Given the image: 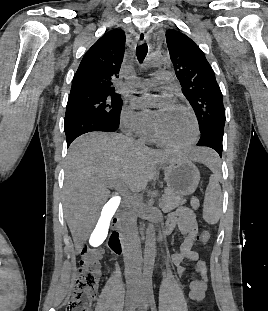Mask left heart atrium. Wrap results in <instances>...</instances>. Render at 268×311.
Returning <instances> with one entry per match:
<instances>
[{"label": "left heart atrium", "mask_w": 268, "mask_h": 311, "mask_svg": "<svg viewBox=\"0 0 268 311\" xmlns=\"http://www.w3.org/2000/svg\"><path fill=\"white\" fill-rule=\"evenodd\" d=\"M149 97H158L160 99L161 108L156 113V120H158L159 118L164 116L166 113H168L169 111L177 107L173 97L170 94H166V93L161 94V95L146 94L142 97L133 99V104L136 107H144L148 104L147 98Z\"/></svg>", "instance_id": "39dd6f15"}]
</instances>
